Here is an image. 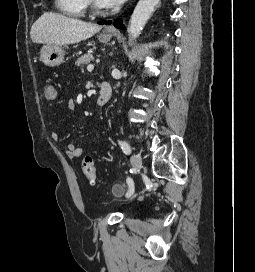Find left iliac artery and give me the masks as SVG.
Returning <instances> with one entry per match:
<instances>
[{
    "instance_id": "1",
    "label": "left iliac artery",
    "mask_w": 255,
    "mask_h": 272,
    "mask_svg": "<svg viewBox=\"0 0 255 272\" xmlns=\"http://www.w3.org/2000/svg\"><path fill=\"white\" fill-rule=\"evenodd\" d=\"M119 142V145L121 146V149L123 150V152L126 154V155H129L131 153V147L130 145L125 142V141H118ZM126 185L128 186V188L130 189L127 193H126V196L127 197H130L131 195H134L135 194V191H134V188H133V180L131 177H128L127 180H126Z\"/></svg>"
}]
</instances>
